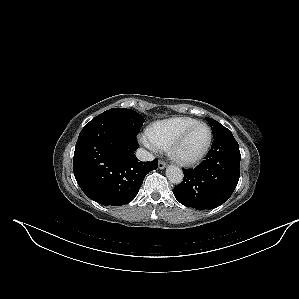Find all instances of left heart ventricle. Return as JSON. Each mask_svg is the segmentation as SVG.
Returning <instances> with one entry per match:
<instances>
[{
    "instance_id": "obj_1",
    "label": "left heart ventricle",
    "mask_w": 299,
    "mask_h": 299,
    "mask_svg": "<svg viewBox=\"0 0 299 299\" xmlns=\"http://www.w3.org/2000/svg\"><path fill=\"white\" fill-rule=\"evenodd\" d=\"M208 140V130L205 126L195 127L186 137L179 149L180 155L193 157L200 153Z\"/></svg>"
}]
</instances>
